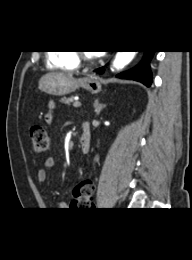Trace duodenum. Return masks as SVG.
<instances>
[{
	"instance_id": "duodenum-1",
	"label": "duodenum",
	"mask_w": 192,
	"mask_h": 260,
	"mask_svg": "<svg viewBox=\"0 0 192 260\" xmlns=\"http://www.w3.org/2000/svg\"><path fill=\"white\" fill-rule=\"evenodd\" d=\"M91 147V129L89 123L85 122L82 125V134L80 137V149L81 152L86 154Z\"/></svg>"
}]
</instances>
